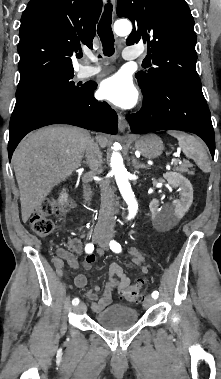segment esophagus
Returning a JSON list of instances; mask_svg holds the SVG:
<instances>
[{
  "instance_id": "1",
  "label": "esophagus",
  "mask_w": 221,
  "mask_h": 379,
  "mask_svg": "<svg viewBox=\"0 0 221 379\" xmlns=\"http://www.w3.org/2000/svg\"><path fill=\"white\" fill-rule=\"evenodd\" d=\"M111 4H114L115 0H108ZM118 128L120 132H124L127 128V120L122 114L118 115Z\"/></svg>"
}]
</instances>
